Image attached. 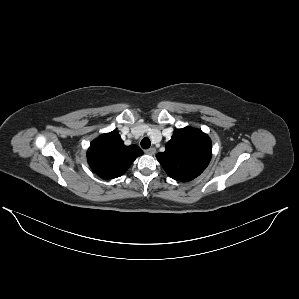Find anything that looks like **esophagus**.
I'll list each match as a JSON object with an SVG mask.
<instances>
[{
  "mask_svg": "<svg viewBox=\"0 0 299 299\" xmlns=\"http://www.w3.org/2000/svg\"><path fill=\"white\" fill-rule=\"evenodd\" d=\"M155 152H156V149L154 147H151L146 150V153L149 155H153V154H155Z\"/></svg>",
  "mask_w": 299,
  "mask_h": 299,
  "instance_id": "34e87169",
  "label": "esophagus"
}]
</instances>
